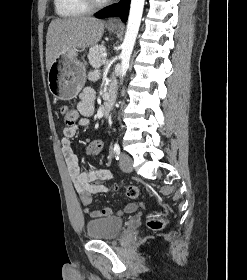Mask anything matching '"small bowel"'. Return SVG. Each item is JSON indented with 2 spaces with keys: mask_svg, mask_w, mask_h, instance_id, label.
I'll return each instance as SVG.
<instances>
[{
  "mask_svg": "<svg viewBox=\"0 0 247 280\" xmlns=\"http://www.w3.org/2000/svg\"><path fill=\"white\" fill-rule=\"evenodd\" d=\"M95 92L92 88L86 87L80 95L78 103V111L81 117L75 124L67 126L63 130L62 153L68 167V171L74 188L78 194L85 212L92 218L112 216L111 208H103L101 210H93L90 208L92 195L98 193H106L109 190L107 182L113 179L111 171L106 169H93L82 172L78 164V158L74 153L70 140L76 135L81 128H86L90 124V116L94 111ZM143 207L142 202L128 203L119 211L120 214L134 211Z\"/></svg>",
  "mask_w": 247,
  "mask_h": 280,
  "instance_id": "c3829d8e",
  "label": "small bowel"
}]
</instances>
